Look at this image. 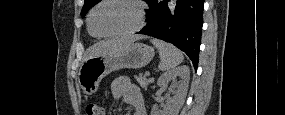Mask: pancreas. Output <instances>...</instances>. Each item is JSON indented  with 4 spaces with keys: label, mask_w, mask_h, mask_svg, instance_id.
I'll list each match as a JSON object with an SVG mask.
<instances>
[{
    "label": "pancreas",
    "mask_w": 285,
    "mask_h": 115,
    "mask_svg": "<svg viewBox=\"0 0 285 115\" xmlns=\"http://www.w3.org/2000/svg\"><path fill=\"white\" fill-rule=\"evenodd\" d=\"M135 79L137 80V82L140 84L142 88H146L150 82V80L146 79V77L143 76L142 74H140L139 76H135Z\"/></svg>",
    "instance_id": "obj_1"
}]
</instances>
